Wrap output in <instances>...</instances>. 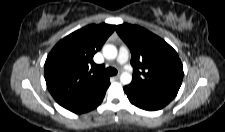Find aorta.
<instances>
[{
    "label": "aorta",
    "mask_w": 225,
    "mask_h": 132,
    "mask_svg": "<svg viewBox=\"0 0 225 132\" xmlns=\"http://www.w3.org/2000/svg\"><path fill=\"white\" fill-rule=\"evenodd\" d=\"M103 56L108 60H113L117 57L118 51L114 45L107 44L102 48ZM120 81L123 85H128L132 81V76L128 72H123L120 76Z\"/></svg>",
    "instance_id": "aorta-1"
}]
</instances>
